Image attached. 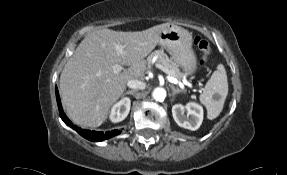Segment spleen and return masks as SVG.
Wrapping results in <instances>:
<instances>
[{
	"instance_id": "3e777b00",
	"label": "spleen",
	"mask_w": 287,
	"mask_h": 175,
	"mask_svg": "<svg viewBox=\"0 0 287 175\" xmlns=\"http://www.w3.org/2000/svg\"><path fill=\"white\" fill-rule=\"evenodd\" d=\"M228 95V80L223 64L217 66L211 78L206 83L203 93L200 95V102L207 109V117L210 120L219 116ZM217 96L218 99H214Z\"/></svg>"
}]
</instances>
